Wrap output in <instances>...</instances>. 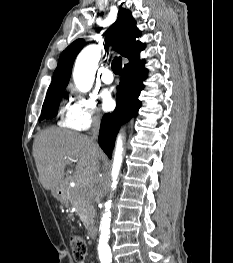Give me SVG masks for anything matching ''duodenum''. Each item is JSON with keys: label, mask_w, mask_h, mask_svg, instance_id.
<instances>
[{"label": "duodenum", "mask_w": 233, "mask_h": 263, "mask_svg": "<svg viewBox=\"0 0 233 263\" xmlns=\"http://www.w3.org/2000/svg\"><path fill=\"white\" fill-rule=\"evenodd\" d=\"M89 236L92 239H96V237H97V229H96L95 225H90L89 226Z\"/></svg>", "instance_id": "obj_1"}]
</instances>
